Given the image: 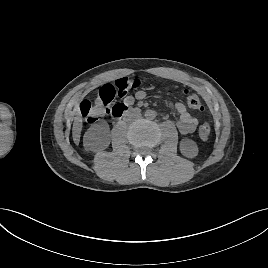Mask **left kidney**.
<instances>
[{"label":"left kidney","instance_id":"1","mask_svg":"<svg viewBox=\"0 0 268 268\" xmlns=\"http://www.w3.org/2000/svg\"><path fill=\"white\" fill-rule=\"evenodd\" d=\"M180 151L185 157L194 158L198 155V146L192 139L183 138L180 142Z\"/></svg>","mask_w":268,"mask_h":268}]
</instances>
